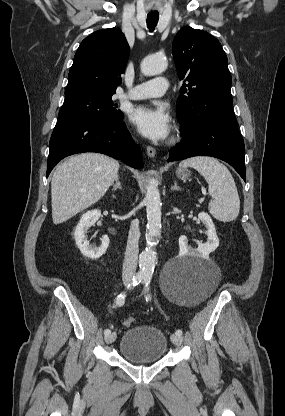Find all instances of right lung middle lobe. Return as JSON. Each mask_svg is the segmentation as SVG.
Listing matches in <instances>:
<instances>
[{
	"label": "right lung middle lobe",
	"instance_id": "dd1d6c3e",
	"mask_svg": "<svg viewBox=\"0 0 285 416\" xmlns=\"http://www.w3.org/2000/svg\"><path fill=\"white\" fill-rule=\"evenodd\" d=\"M112 97H65L57 123L71 121L117 122L124 118Z\"/></svg>",
	"mask_w": 285,
	"mask_h": 416
}]
</instances>
